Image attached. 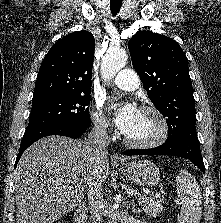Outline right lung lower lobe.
I'll list each match as a JSON object with an SVG mask.
<instances>
[{"instance_id":"1","label":"right lung lower lobe","mask_w":221,"mask_h":223,"mask_svg":"<svg viewBox=\"0 0 221 223\" xmlns=\"http://www.w3.org/2000/svg\"><path fill=\"white\" fill-rule=\"evenodd\" d=\"M87 128L88 127H76L63 123H52L30 130L26 129L21 141L19 153L16 158L15 168L23 152L35 141L49 135L79 138L87 130Z\"/></svg>"}]
</instances>
